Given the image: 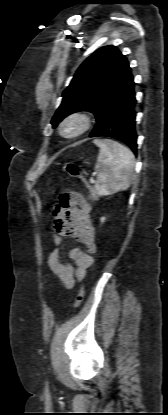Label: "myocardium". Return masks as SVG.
Listing matches in <instances>:
<instances>
[{"label":"myocardium","mask_w":168,"mask_h":415,"mask_svg":"<svg viewBox=\"0 0 168 415\" xmlns=\"http://www.w3.org/2000/svg\"><path fill=\"white\" fill-rule=\"evenodd\" d=\"M75 122L77 128L71 132L66 133L64 128L67 124ZM93 117L85 110H77L67 114L59 123L58 130L59 134L66 139H75L84 135L92 127Z\"/></svg>","instance_id":"f54148a6"}]
</instances>
